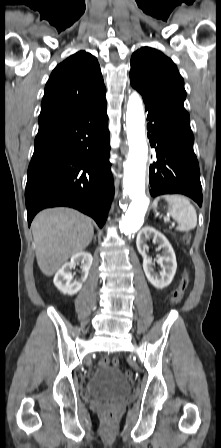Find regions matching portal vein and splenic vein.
I'll list each match as a JSON object with an SVG mask.
<instances>
[{"label":"portal vein and splenic vein","instance_id":"obj_1","mask_svg":"<svg viewBox=\"0 0 221 448\" xmlns=\"http://www.w3.org/2000/svg\"><path fill=\"white\" fill-rule=\"evenodd\" d=\"M165 221L170 222V218L169 217L165 218Z\"/></svg>","mask_w":221,"mask_h":448}]
</instances>
